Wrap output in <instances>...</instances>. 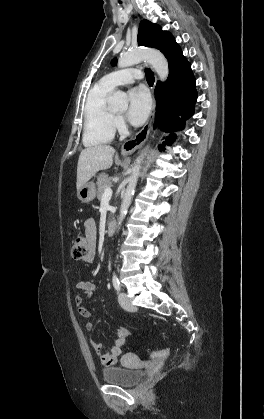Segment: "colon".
<instances>
[{
  "label": "colon",
  "instance_id": "obj_1",
  "mask_svg": "<svg viewBox=\"0 0 264 419\" xmlns=\"http://www.w3.org/2000/svg\"><path fill=\"white\" fill-rule=\"evenodd\" d=\"M89 239L86 234L79 233L75 236L72 245V256L77 259H84L89 254ZM170 355V349L151 352L150 356L155 359H163Z\"/></svg>",
  "mask_w": 264,
  "mask_h": 419
}]
</instances>
